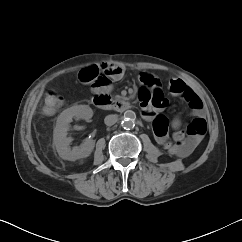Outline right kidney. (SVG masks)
Here are the masks:
<instances>
[{"instance_id":"1","label":"right kidney","mask_w":242,"mask_h":242,"mask_svg":"<svg viewBox=\"0 0 242 242\" xmlns=\"http://www.w3.org/2000/svg\"><path fill=\"white\" fill-rule=\"evenodd\" d=\"M93 116V111L88 105L72 106L64 110L57 118L53 134V145L59 156L64 160L75 161L77 159L88 157L94 149L95 141L85 139L80 147L71 149L69 144L71 138L67 137L69 124L73 118L76 120H88Z\"/></svg>"}]
</instances>
